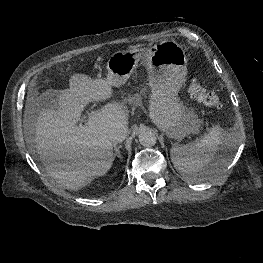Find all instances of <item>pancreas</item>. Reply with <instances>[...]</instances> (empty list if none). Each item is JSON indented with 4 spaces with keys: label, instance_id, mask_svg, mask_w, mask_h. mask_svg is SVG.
I'll return each mask as SVG.
<instances>
[{
    "label": "pancreas",
    "instance_id": "obj_1",
    "mask_svg": "<svg viewBox=\"0 0 263 263\" xmlns=\"http://www.w3.org/2000/svg\"><path fill=\"white\" fill-rule=\"evenodd\" d=\"M129 99H130V101L133 102L135 105H138V104L141 103L142 97H141L140 94H136V95H134L133 97H130Z\"/></svg>",
    "mask_w": 263,
    "mask_h": 263
}]
</instances>
